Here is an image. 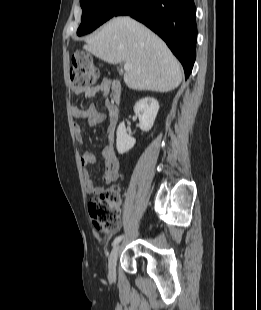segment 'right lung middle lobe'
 Listing matches in <instances>:
<instances>
[{
  "label": "right lung middle lobe",
  "mask_w": 261,
  "mask_h": 310,
  "mask_svg": "<svg viewBox=\"0 0 261 310\" xmlns=\"http://www.w3.org/2000/svg\"><path fill=\"white\" fill-rule=\"evenodd\" d=\"M128 0H80L83 10L82 23L77 30L79 36L90 33L115 16Z\"/></svg>",
  "instance_id": "dd1d6c3e"
}]
</instances>
